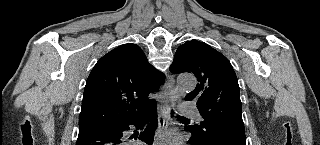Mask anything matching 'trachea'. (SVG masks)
I'll use <instances>...</instances> for the list:
<instances>
[{"mask_svg":"<svg viewBox=\"0 0 320 145\" xmlns=\"http://www.w3.org/2000/svg\"><path fill=\"white\" fill-rule=\"evenodd\" d=\"M173 116V114L171 115ZM178 119H187L186 117H183V116H177Z\"/></svg>","mask_w":320,"mask_h":145,"instance_id":"trachea-1","label":"trachea"}]
</instances>
